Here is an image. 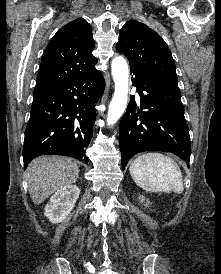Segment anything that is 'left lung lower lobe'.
Returning <instances> with one entry per match:
<instances>
[{"label": "left lung lower lobe", "instance_id": "obj_1", "mask_svg": "<svg viewBox=\"0 0 221 274\" xmlns=\"http://www.w3.org/2000/svg\"><path fill=\"white\" fill-rule=\"evenodd\" d=\"M133 86L140 96H131L119 128L122 169L129 159L144 151L171 152L190 161L191 143L179 88L130 66Z\"/></svg>", "mask_w": 221, "mask_h": 274}]
</instances>
